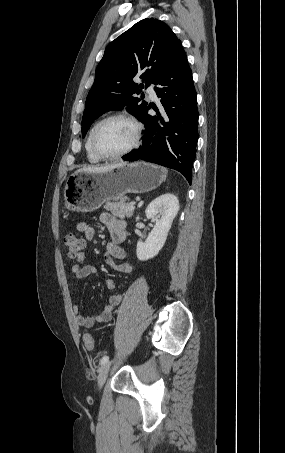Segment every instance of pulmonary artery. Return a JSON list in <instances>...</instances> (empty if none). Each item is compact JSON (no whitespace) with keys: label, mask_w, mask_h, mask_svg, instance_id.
Returning <instances> with one entry per match:
<instances>
[{"label":"pulmonary artery","mask_w":285,"mask_h":453,"mask_svg":"<svg viewBox=\"0 0 285 453\" xmlns=\"http://www.w3.org/2000/svg\"><path fill=\"white\" fill-rule=\"evenodd\" d=\"M147 93L149 94L151 99H156L157 98L155 86L153 84L148 86Z\"/></svg>","instance_id":"e3ab8cb5"}]
</instances>
